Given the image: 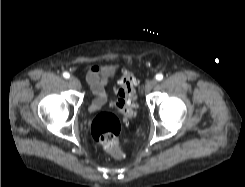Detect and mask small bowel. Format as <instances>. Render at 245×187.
Returning <instances> with one entry per match:
<instances>
[{"instance_id": "small-bowel-1", "label": "small bowel", "mask_w": 245, "mask_h": 187, "mask_svg": "<svg viewBox=\"0 0 245 187\" xmlns=\"http://www.w3.org/2000/svg\"><path fill=\"white\" fill-rule=\"evenodd\" d=\"M111 68L108 66L93 65L87 73V81L94 94L90 110L95 111L104 106L108 100V84Z\"/></svg>"}]
</instances>
